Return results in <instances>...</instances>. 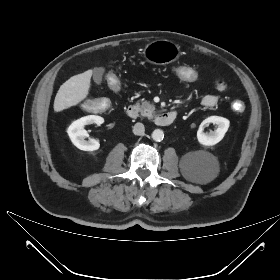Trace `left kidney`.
<instances>
[{
  "mask_svg": "<svg viewBox=\"0 0 280 280\" xmlns=\"http://www.w3.org/2000/svg\"><path fill=\"white\" fill-rule=\"evenodd\" d=\"M213 123L217 125V129L210 133L203 132V126L205 124ZM230 125V121L220 116H210L206 118L200 125L197 131V139L200 144L205 146H213L220 142Z\"/></svg>",
  "mask_w": 280,
  "mask_h": 280,
  "instance_id": "obj_1",
  "label": "left kidney"
}]
</instances>
